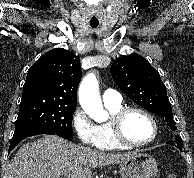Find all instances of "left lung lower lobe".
Listing matches in <instances>:
<instances>
[{
	"label": "left lung lower lobe",
	"instance_id": "0a47b994",
	"mask_svg": "<svg viewBox=\"0 0 194 178\" xmlns=\"http://www.w3.org/2000/svg\"><path fill=\"white\" fill-rule=\"evenodd\" d=\"M167 144H171V145H177V147L178 148H180V150H181V147H182V139L179 137V136H176L175 137V141L174 142H171V141H169V142H167Z\"/></svg>",
	"mask_w": 194,
	"mask_h": 178
}]
</instances>
